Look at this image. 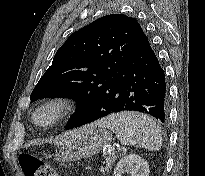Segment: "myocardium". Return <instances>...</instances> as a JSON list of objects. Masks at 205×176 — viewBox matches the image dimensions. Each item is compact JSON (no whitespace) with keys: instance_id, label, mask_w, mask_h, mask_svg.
Here are the masks:
<instances>
[{"instance_id":"obj_1","label":"myocardium","mask_w":205,"mask_h":176,"mask_svg":"<svg viewBox=\"0 0 205 176\" xmlns=\"http://www.w3.org/2000/svg\"><path fill=\"white\" fill-rule=\"evenodd\" d=\"M74 111L73 101L65 96H56L41 103L33 112L32 122L38 126H54L68 117ZM46 116L41 121L40 116Z\"/></svg>"}]
</instances>
